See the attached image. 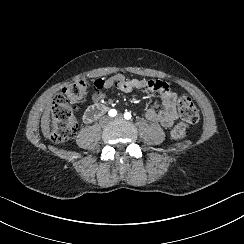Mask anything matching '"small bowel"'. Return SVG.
Masks as SVG:
<instances>
[{
  "mask_svg": "<svg viewBox=\"0 0 244 244\" xmlns=\"http://www.w3.org/2000/svg\"><path fill=\"white\" fill-rule=\"evenodd\" d=\"M91 94L92 106H90L84 116L85 122H92L93 118L90 109L105 99L106 91L111 88L129 93L135 90H148L159 95L158 100H152L145 113V119L151 124H160L163 127H170L177 118L176 99L177 94L166 82L159 80H144L140 78H127L122 74H117L107 79H98L94 82Z\"/></svg>",
  "mask_w": 244,
  "mask_h": 244,
  "instance_id": "obj_1",
  "label": "small bowel"
}]
</instances>
